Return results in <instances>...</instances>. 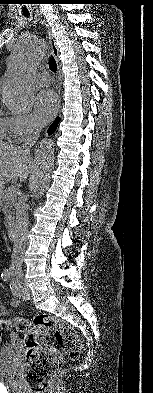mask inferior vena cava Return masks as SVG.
<instances>
[{
  "instance_id": "1",
  "label": "inferior vena cava",
  "mask_w": 153,
  "mask_h": 393,
  "mask_svg": "<svg viewBox=\"0 0 153 393\" xmlns=\"http://www.w3.org/2000/svg\"><path fill=\"white\" fill-rule=\"evenodd\" d=\"M40 132L41 128L34 125L30 138L23 146L25 152L30 154L31 148L35 145L40 136ZM26 202L27 196L22 195L16 207L15 238L13 242L10 269L17 274L22 273L23 256L27 241L29 217Z\"/></svg>"
}]
</instances>
